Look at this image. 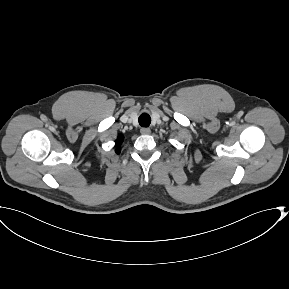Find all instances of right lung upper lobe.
I'll use <instances>...</instances> for the list:
<instances>
[{
  "label": "right lung upper lobe",
  "mask_w": 289,
  "mask_h": 289,
  "mask_svg": "<svg viewBox=\"0 0 289 289\" xmlns=\"http://www.w3.org/2000/svg\"><path fill=\"white\" fill-rule=\"evenodd\" d=\"M123 141H124V136L119 135L117 140H116V144H115V146L117 147L115 150L117 154H119L121 152L120 146H121Z\"/></svg>",
  "instance_id": "cb5924a9"
}]
</instances>
